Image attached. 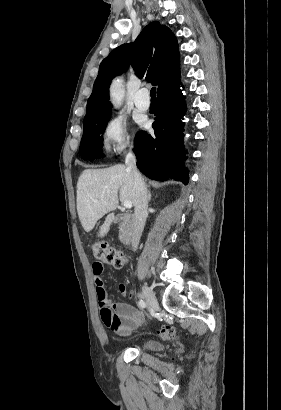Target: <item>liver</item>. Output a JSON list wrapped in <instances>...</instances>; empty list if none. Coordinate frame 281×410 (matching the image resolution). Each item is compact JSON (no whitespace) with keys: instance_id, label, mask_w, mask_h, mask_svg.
<instances>
[{"instance_id":"liver-1","label":"liver","mask_w":281,"mask_h":410,"mask_svg":"<svg viewBox=\"0 0 281 410\" xmlns=\"http://www.w3.org/2000/svg\"><path fill=\"white\" fill-rule=\"evenodd\" d=\"M124 202H136L134 178L125 165L103 169H85L77 183V212L82 227L91 231L97 221L109 213L100 227L98 237H104L115 219L114 210ZM111 212V213H110Z\"/></svg>"}]
</instances>
